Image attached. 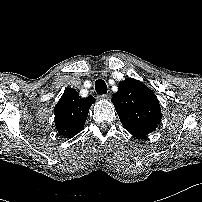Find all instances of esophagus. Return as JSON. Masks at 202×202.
Here are the masks:
<instances>
[{
	"label": "esophagus",
	"mask_w": 202,
	"mask_h": 202,
	"mask_svg": "<svg viewBox=\"0 0 202 202\" xmlns=\"http://www.w3.org/2000/svg\"><path fill=\"white\" fill-rule=\"evenodd\" d=\"M110 98H111V96L110 95H106V94H98L97 95V99H99V100H103V99L109 100Z\"/></svg>",
	"instance_id": "34e87169"
}]
</instances>
